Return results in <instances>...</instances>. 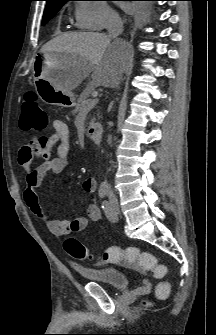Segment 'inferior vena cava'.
Wrapping results in <instances>:
<instances>
[{"label":"inferior vena cava","mask_w":216,"mask_h":335,"mask_svg":"<svg viewBox=\"0 0 216 335\" xmlns=\"http://www.w3.org/2000/svg\"><path fill=\"white\" fill-rule=\"evenodd\" d=\"M109 37L116 38L123 32V22L118 15H112L107 23Z\"/></svg>","instance_id":"inferior-vena-cava-1"}]
</instances>
